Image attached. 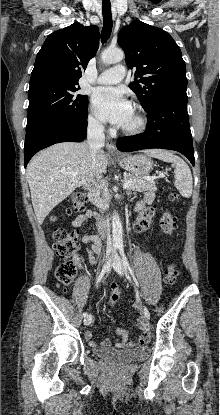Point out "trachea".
<instances>
[{
    "mask_svg": "<svg viewBox=\"0 0 220 415\" xmlns=\"http://www.w3.org/2000/svg\"><path fill=\"white\" fill-rule=\"evenodd\" d=\"M102 13L104 24L101 32V41L102 43H105L109 39L113 27L111 5L102 4Z\"/></svg>",
    "mask_w": 220,
    "mask_h": 415,
    "instance_id": "trachea-1",
    "label": "trachea"
}]
</instances>
